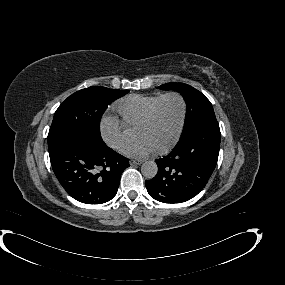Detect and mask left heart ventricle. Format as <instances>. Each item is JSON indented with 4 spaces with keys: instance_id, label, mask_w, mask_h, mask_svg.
Listing matches in <instances>:
<instances>
[{
    "instance_id": "obj_1",
    "label": "left heart ventricle",
    "mask_w": 285,
    "mask_h": 285,
    "mask_svg": "<svg viewBox=\"0 0 285 285\" xmlns=\"http://www.w3.org/2000/svg\"><path fill=\"white\" fill-rule=\"evenodd\" d=\"M182 112V105L177 98L164 100L158 110L155 120L149 126L136 132L139 138H145L155 147L166 143L175 133Z\"/></svg>"
}]
</instances>
